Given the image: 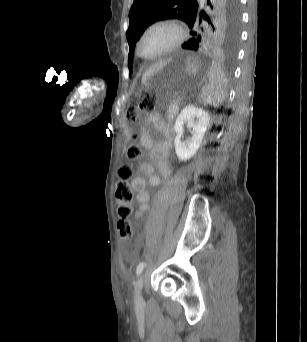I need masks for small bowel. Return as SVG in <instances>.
<instances>
[{"label": "small bowel", "instance_id": "1", "mask_svg": "<svg viewBox=\"0 0 307 342\" xmlns=\"http://www.w3.org/2000/svg\"><path fill=\"white\" fill-rule=\"evenodd\" d=\"M151 129L160 133L162 140L155 142ZM175 137L173 128L164 123L155 113H148L141 127V144L148 152V160L141 162L136 174L130 181V186L135 193L138 204L135 216L138 218L150 208V196L146 191V180L153 186L160 184V177L155 173L156 167L164 178H169L170 168L167 156Z\"/></svg>", "mask_w": 307, "mask_h": 342}]
</instances>
